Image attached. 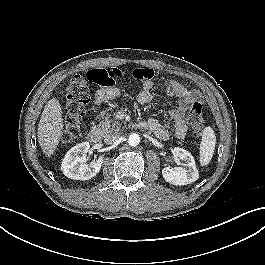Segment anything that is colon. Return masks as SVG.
Returning a JSON list of instances; mask_svg holds the SVG:
<instances>
[{
    "mask_svg": "<svg viewBox=\"0 0 265 265\" xmlns=\"http://www.w3.org/2000/svg\"><path fill=\"white\" fill-rule=\"evenodd\" d=\"M151 75L150 69L146 70ZM118 70L94 69L87 74L79 73L71 78L64 90V130L61 136L63 144L74 142L81 134L86 105L89 102V84L111 86L118 80ZM145 71L141 68L133 72L134 78L143 81ZM187 121L195 136L202 133L204 127L203 107L199 101L194 102L188 113Z\"/></svg>",
    "mask_w": 265,
    "mask_h": 265,
    "instance_id": "obj_1",
    "label": "colon"
}]
</instances>
